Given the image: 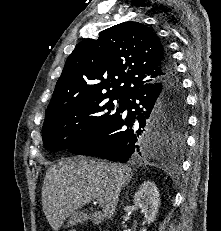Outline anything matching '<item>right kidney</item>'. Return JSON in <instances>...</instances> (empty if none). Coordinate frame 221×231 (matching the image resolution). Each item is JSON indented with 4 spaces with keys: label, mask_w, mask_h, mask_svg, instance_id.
I'll return each mask as SVG.
<instances>
[{
    "label": "right kidney",
    "mask_w": 221,
    "mask_h": 231,
    "mask_svg": "<svg viewBox=\"0 0 221 231\" xmlns=\"http://www.w3.org/2000/svg\"><path fill=\"white\" fill-rule=\"evenodd\" d=\"M134 204L141 209L148 225L154 222L160 204V195L156 184L151 181L144 182L134 195ZM141 231H146V228Z\"/></svg>",
    "instance_id": "1"
}]
</instances>
